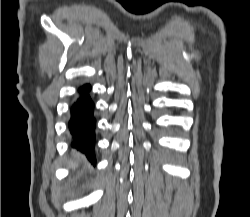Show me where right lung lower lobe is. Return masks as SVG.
<instances>
[{
  "label": "right lung lower lobe",
  "mask_w": 250,
  "mask_h": 217,
  "mask_svg": "<svg viewBox=\"0 0 250 217\" xmlns=\"http://www.w3.org/2000/svg\"><path fill=\"white\" fill-rule=\"evenodd\" d=\"M90 89V85H84L79 89L80 96L71 106L68 129L72 137L71 146L84 153L95 165V104L89 96Z\"/></svg>",
  "instance_id": "1"
}]
</instances>
